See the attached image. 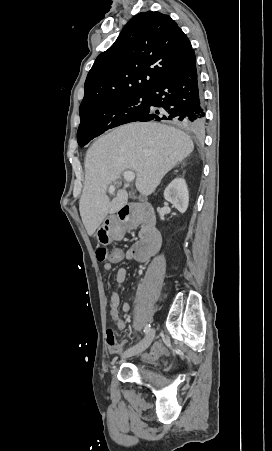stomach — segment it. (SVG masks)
Returning <instances> with one entry per match:
<instances>
[{
  "label": "stomach",
  "mask_w": 272,
  "mask_h": 451,
  "mask_svg": "<svg viewBox=\"0 0 272 451\" xmlns=\"http://www.w3.org/2000/svg\"><path fill=\"white\" fill-rule=\"evenodd\" d=\"M95 235L98 243H102V245H108V243H111L112 241L110 231L106 226L98 227Z\"/></svg>",
  "instance_id": "1"
}]
</instances>
